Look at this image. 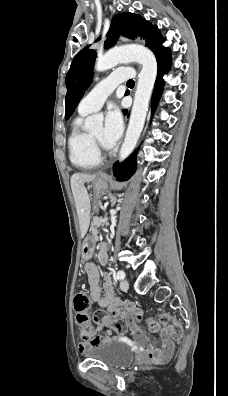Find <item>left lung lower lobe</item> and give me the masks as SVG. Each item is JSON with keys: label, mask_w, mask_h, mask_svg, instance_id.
<instances>
[{"label": "left lung lower lobe", "mask_w": 228, "mask_h": 396, "mask_svg": "<svg viewBox=\"0 0 228 396\" xmlns=\"http://www.w3.org/2000/svg\"><path fill=\"white\" fill-rule=\"evenodd\" d=\"M165 41L162 36L155 38L152 42L148 44V47L153 51L156 56L157 63H158V74L155 82L154 93L152 97V109L154 110L156 104L160 98L162 93L164 80L163 75L168 72L170 68V60H171V53L169 48H165L161 46V44ZM124 114H127V110H124ZM137 151H135L129 158H127L123 163L119 164L116 162L113 166L114 176H116V180L118 181H125L126 178H130L135 170L136 157Z\"/></svg>", "instance_id": "0a47b994"}]
</instances>
